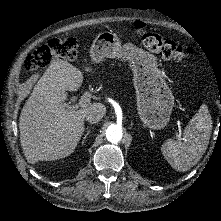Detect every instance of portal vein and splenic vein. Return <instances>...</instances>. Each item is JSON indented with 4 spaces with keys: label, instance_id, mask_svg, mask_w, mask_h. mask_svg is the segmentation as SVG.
I'll return each mask as SVG.
<instances>
[{
    "label": "portal vein and splenic vein",
    "instance_id": "portal-vein-and-splenic-vein-1",
    "mask_svg": "<svg viewBox=\"0 0 221 221\" xmlns=\"http://www.w3.org/2000/svg\"><path fill=\"white\" fill-rule=\"evenodd\" d=\"M89 99L90 97L84 94L81 96L78 103H74L72 105L69 103H63L62 107L67 108L68 110H77L79 107L86 108L88 106ZM176 136L179 138L180 134H177Z\"/></svg>",
    "mask_w": 221,
    "mask_h": 221
}]
</instances>
